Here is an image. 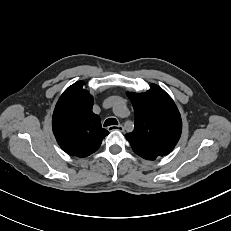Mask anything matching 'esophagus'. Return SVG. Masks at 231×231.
Listing matches in <instances>:
<instances>
[{"label": "esophagus", "mask_w": 231, "mask_h": 231, "mask_svg": "<svg viewBox=\"0 0 231 231\" xmlns=\"http://www.w3.org/2000/svg\"><path fill=\"white\" fill-rule=\"evenodd\" d=\"M109 131H114V130H118V131H124V127L122 125H118V126H109L107 128Z\"/></svg>", "instance_id": "obj_1"}]
</instances>
